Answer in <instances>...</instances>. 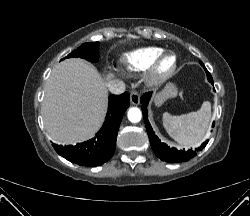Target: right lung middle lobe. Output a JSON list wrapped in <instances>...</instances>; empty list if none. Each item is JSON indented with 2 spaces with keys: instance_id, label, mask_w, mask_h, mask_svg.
<instances>
[{
  "instance_id": "dd1d6c3e",
  "label": "right lung middle lobe",
  "mask_w": 250,
  "mask_h": 216,
  "mask_svg": "<svg viewBox=\"0 0 250 216\" xmlns=\"http://www.w3.org/2000/svg\"><path fill=\"white\" fill-rule=\"evenodd\" d=\"M98 48H99L98 42L85 43L82 44L76 50H74L72 53H70L66 58L81 57L91 62H97L99 58Z\"/></svg>"
}]
</instances>
